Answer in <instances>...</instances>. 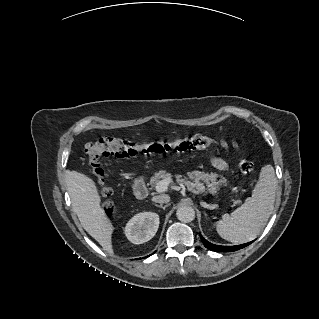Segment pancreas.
<instances>
[{"label":"pancreas","mask_w":319,"mask_h":319,"mask_svg":"<svg viewBox=\"0 0 319 319\" xmlns=\"http://www.w3.org/2000/svg\"><path fill=\"white\" fill-rule=\"evenodd\" d=\"M168 177H172L171 173L166 172L165 170H161L157 173H155L151 177V184L156 185L161 179H165ZM218 175L216 173H207L204 171H193L188 175V177H184V179H180L178 177L177 183H182L184 184L189 190H192L193 187L202 189V185L200 184L201 181H204L207 190L211 194L217 193L218 187L221 183H226V179L222 178L220 181H217ZM188 179H193L194 180V186L193 184L188 181Z\"/></svg>","instance_id":"pancreas-1"}]
</instances>
